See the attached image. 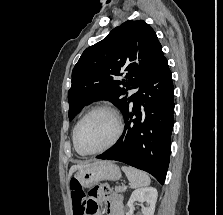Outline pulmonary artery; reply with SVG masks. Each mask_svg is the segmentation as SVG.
Listing matches in <instances>:
<instances>
[{"mask_svg": "<svg viewBox=\"0 0 223 215\" xmlns=\"http://www.w3.org/2000/svg\"><path fill=\"white\" fill-rule=\"evenodd\" d=\"M141 86H142V83H139L138 89L133 90L135 98H142L143 97V94L140 93V90H139V89H141Z\"/></svg>", "mask_w": 223, "mask_h": 215, "instance_id": "1", "label": "pulmonary artery"}]
</instances>
